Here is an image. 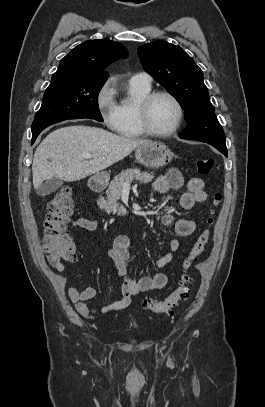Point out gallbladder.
<instances>
[{"label": "gallbladder", "instance_id": "obj_1", "mask_svg": "<svg viewBox=\"0 0 265 407\" xmlns=\"http://www.w3.org/2000/svg\"><path fill=\"white\" fill-rule=\"evenodd\" d=\"M63 184V181L59 178H52L49 180H46L44 183H42L36 190V193L39 196H47L55 191H57L61 185Z\"/></svg>", "mask_w": 265, "mask_h": 407}]
</instances>
